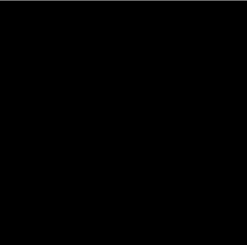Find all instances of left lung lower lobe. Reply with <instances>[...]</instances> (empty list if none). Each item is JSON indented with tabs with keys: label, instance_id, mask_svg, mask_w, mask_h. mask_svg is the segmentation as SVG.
<instances>
[{
	"label": "left lung lower lobe",
	"instance_id": "1",
	"mask_svg": "<svg viewBox=\"0 0 247 245\" xmlns=\"http://www.w3.org/2000/svg\"><path fill=\"white\" fill-rule=\"evenodd\" d=\"M202 93L194 81L183 83L172 79L166 88L168 99L189 103L179 107L167 105L163 95L153 89L142 91L146 110L160 123L148 119L140 127L132 128L127 138L137 142L134 149L141 161L138 185L148 198L158 203L169 206L197 201L211 190L214 178L226 164L231 135L228 112L223 106L204 104ZM184 124H193L194 137L191 147L178 155V136ZM199 147H203L202 158L193 172L183 178H172L168 171L173 162L184 163Z\"/></svg>",
	"mask_w": 247,
	"mask_h": 245
}]
</instances>
